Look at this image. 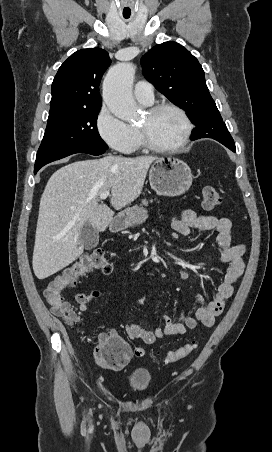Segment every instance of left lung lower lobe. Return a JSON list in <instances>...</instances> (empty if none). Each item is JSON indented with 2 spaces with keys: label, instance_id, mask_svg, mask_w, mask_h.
I'll return each instance as SVG.
<instances>
[{
  "label": "left lung lower lobe",
  "instance_id": "0a47b994",
  "mask_svg": "<svg viewBox=\"0 0 272 452\" xmlns=\"http://www.w3.org/2000/svg\"><path fill=\"white\" fill-rule=\"evenodd\" d=\"M191 139L192 140H195V139H199V137L198 136H191ZM231 139H232V137H231ZM230 138H220L219 140H217V141H219L220 143H222L224 146H226L227 148H229L230 150H232V151H236V148L235 149H232V147H231V140ZM234 142V141H233Z\"/></svg>",
  "mask_w": 272,
  "mask_h": 452
}]
</instances>
